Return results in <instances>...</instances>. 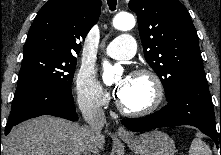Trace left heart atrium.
<instances>
[{"instance_id": "39dd6f15", "label": "left heart atrium", "mask_w": 221, "mask_h": 155, "mask_svg": "<svg viewBox=\"0 0 221 155\" xmlns=\"http://www.w3.org/2000/svg\"><path fill=\"white\" fill-rule=\"evenodd\" d=\"M129 76L123 78V80L117 84L115 88V93L118 97H121L124 91L126 90L127 83H128Z\"/></svg>"}]
</instances>
